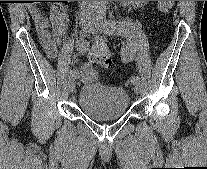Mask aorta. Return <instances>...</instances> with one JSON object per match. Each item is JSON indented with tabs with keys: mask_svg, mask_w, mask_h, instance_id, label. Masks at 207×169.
Segmentation results:
<instances>
[{
	"mask_svg": "<svg viewBox=\"0 0 207 169\" xmlns=\"http://www.w3.org/2000/svg\"><path fill=\"white\" fill-rule=\"evenodd\" d=\"M107 1H95V4H99V5H103L105 4ZM123 4H129L132 1H121Z\"/></svg>",
	"mask_w": 207,
	"mask_h": 169,
	"instance_id": "1",
	"label": "aorta"
}]
</instances>
